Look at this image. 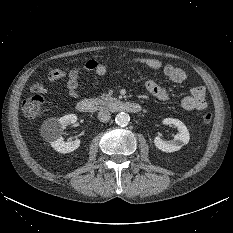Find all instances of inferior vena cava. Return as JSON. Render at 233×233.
<instances>
[{
	"label": "inferior vena cava",
	"mask_w": 233,
	"mask_h": 233,
	"mask_svg": "<svg viewBox=\"0 0 233 233\" xmlns=\"http://www.w3.org/2000/svg\"><path fill=\"white\" fill-rule=\"evenodd\" d=\"M111 118V114L108 110L106 109H101L99 112H98V119L101 121V122H108Z\"/></svg>",
	"instance_id": "1"
}]
</instances>
